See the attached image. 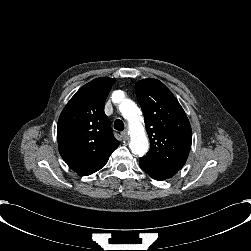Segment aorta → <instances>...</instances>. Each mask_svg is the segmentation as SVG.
<instances>
[{
    "mask_svg": "<svg viewBox=\"0 0 251 251\" xmlns=\"http://www.w3.org/2000/svg\"><path fill=\"white\" fill-rule=\"evenodd\" d=\"M112 100L120 103L119 110L122 116L129 123L130 143L129 147L133 154L143 156L149 148L148 139L142 124V116L139 114V108L130 99H124V92L116 90L113 92Z\"/></svg>",
    "mask_w": 251,
    "mask_h": 251,
    "instance_id": "aorta-1",
    "label": "aorta"
}]
</instances>
